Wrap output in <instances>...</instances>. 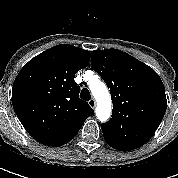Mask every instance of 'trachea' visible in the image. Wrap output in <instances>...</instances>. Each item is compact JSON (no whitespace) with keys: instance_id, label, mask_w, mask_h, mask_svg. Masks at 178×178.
<instances>
[{"instance_id":"3493384b","label":"trachea","mask_w":178,"mask_h":178,"mask_svg":"<svg viewBox=\"0 0 178 178\" xmlns=\"http://www.w3.org/2000/svg\"><path fill=\"white\" fill-rule=\"evenodd\" d=\"M80 97L85 101H89L91 99L89 90L87 88H83L81 90Z\"/></svg>"}]
</instances>
